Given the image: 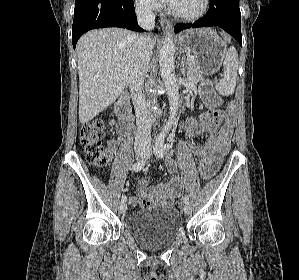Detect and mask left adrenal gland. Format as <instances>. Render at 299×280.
<instances>
[{
	"label": "left adrenal gland",
	"mask_w": 299,
	"mask_h": 280,
	"mask_svg": "<svg viewBox=\"0 0 299 280\" xmlns=\"http://www.w3.org/2000/svg\"><path fill=\"white\" fill-rule=\"evenodd\" d=\"M180 70L183 75H185V68H184V58L181 59Z\"/></svg>",
	"instance_id": "1"
}]
</instances>
